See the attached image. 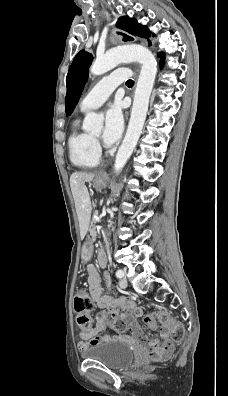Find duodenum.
Here are the masks:
<instances>
[{
  "label": "duodenum",
  "mask_w": 228,
  "mask_h": 396,
  "mask_svg": "<svg viewBox=\"0 0 228 396\" xmlns=\"http://www.w3.org/2000/svg\"><path fill=\"white\" fill-rule=\"evenodd\" d=\"M99 263H100L101 266H104L106 264V260L103 257H101L99 259Z\"/></svg>",
  "instance_id": "1"
}]
</instances>
